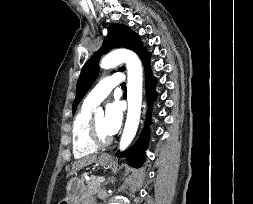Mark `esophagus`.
<instances>
[{
	"instance_id": "34e87169",
	"label": "esophagus",
	"mask_w": 253,
	"mask_h": 204,
	"mask_svg": "<svg viewBox=\"0 0 253 204\" xmlns=\"http://www.w3.org/2000/svg\"><path fill=\"white\" fill-rule=\"evenodd\" d=\"M102 157L107 158L108 156L104 155V156H102Z\"/></svg>"
}]
</instances>
